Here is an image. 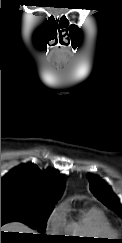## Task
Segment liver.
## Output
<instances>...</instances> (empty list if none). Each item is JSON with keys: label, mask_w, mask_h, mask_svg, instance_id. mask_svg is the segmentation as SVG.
Instances as JSON below:
<instances>
[{"label": "liver", "mask_w": 122, "mask_h": 243, "mask_svg": "<svg viewBox=\"0 0 122 243\" xmlns=\"http://www.w3.org/2000/svg\"><path fill=\"white\" fill-rule=\"evenodd\" d=\"M1 232L33 233L29 227L19 222H12L4 225L1 227Z\"/></svg>", "instance_id": "6515ba94"}]
</instances>
